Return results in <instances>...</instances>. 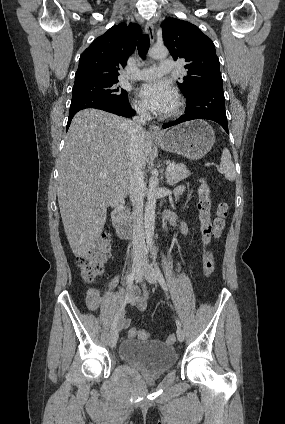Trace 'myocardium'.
Segmentation results:
<instances>
[{
	"mask_svg": "<svg viewBox=\"0 0 285 424\" xmlns=\"http://www.w3.org/2000/svg\"><path fill=\"white\" fill-rule=\"evenodd\" d=\"M183 108V102L181 99L177 98L175 100L174 106L171 109V111L167 114V117H175L177 115H179L182 111Z\"/></svg>",
	"mask_w": 285,
	"mask_h": 424,
	"instance_id": "obj_1",
	"label": "myocardium"
}]
</instances>
